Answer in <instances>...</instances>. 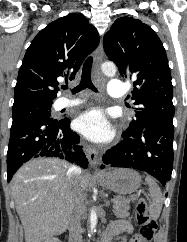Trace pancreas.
Masks as SVG:
<instances>
[{"mask_svg": "<svg viewBox=\"0 0 187 242\" xmlns=\"http://www.w3.org/2000/svg\"><path fill=\"white\" fill-rule=\"evenodd\" d=\"M138 199V195H132L129 198L125 197H116L114 199L113 205V213L116 216H126L130 209V202L136 201Z\"/></svg>", "mask_w": 187, "mask_h": 242, "instance_id": "1", "label": "pancreas"}]
</instances>
